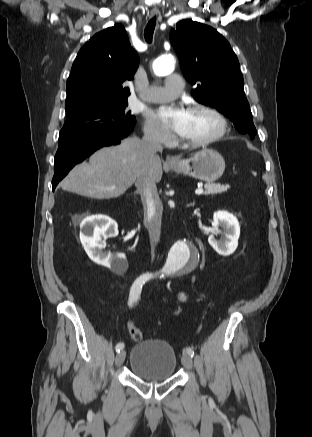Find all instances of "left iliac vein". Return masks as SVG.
Here are the masks:
<instances>
[{"label": "left iliac vein", "instance_id": "1", "mask_svg": "<svg viewBox=\"0 0 312 437\" xmlns=\"http://www.w3.org/2000/svg\"><path fill=\"white\" fill-rule=\"evenodd\" d=\"M182 364L183 366L187 369V370H192L193 368V362L191 357L188 354H183L182 355Z\"/></svg>", "mask_w": 312, "mask_h": 437}]
</instances>
